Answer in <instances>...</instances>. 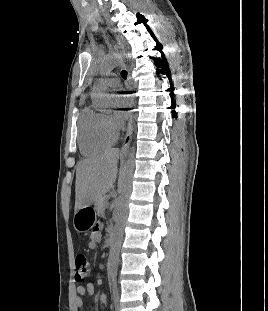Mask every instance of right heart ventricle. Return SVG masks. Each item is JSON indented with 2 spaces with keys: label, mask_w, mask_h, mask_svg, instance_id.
Wrapping results in <instances>:
<instances>
[{
  "label": "right heart ventricle",
  "mask_w": 268,
  "mask_h": 311,
  "mask_svg": "<svg viewBox=\"0 0 268 311\" xmlns=\"http://www.w3.org/2000/svg\"><path fill=\"white\" fill-rule=\"evenodd\" d=\"M78 143L85 155H94L110 148L117 139L116 130L110 125L107 116L86 107L78 121Z\"/></svg>",
  "instance_id": "1"
}]
</instances>
